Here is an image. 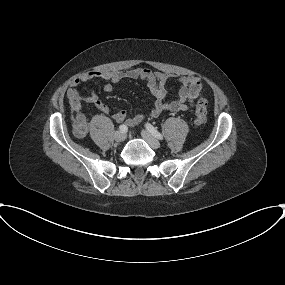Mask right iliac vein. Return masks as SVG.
Here are the masks:
<instances>
[{"label":"right iliac vein","mask_w":285,"mask_h":285,"mask_svg":"<svg viewBox=\"0 0 285 285\" xmlns=\"http://www.w3.org/2000/svg\"><path fill=\"white\" fill-rule=\"evenodd\" d=\"M114 139H115V141H117V142H122V141H124V140L126 139V134H125V132L116 131V132L114 133Z\"/></svg>","instance_id":"right-iliac-vein-1"}]
</instances>
